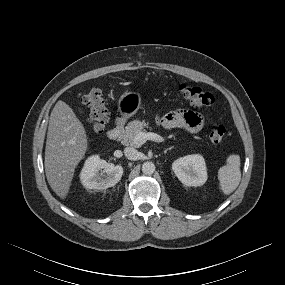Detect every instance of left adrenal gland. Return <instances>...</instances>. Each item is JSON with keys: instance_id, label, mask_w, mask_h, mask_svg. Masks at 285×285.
Instances as JSON below:
<instances>
[{"instance_id": "a2214340", "label": "left adrenal gland", "mask_w": 285, "mask_h": 285, "mask_svg": "<svg viewBox=\"0 0 285 285\" xmlns=\"http://www.w3.org/2000/svg\"><path fill=\"white\" fill-rule=\"evenodd\" d=\"M173 147L167 148L164 153H167L168 150H171Z\"/></svg>"}]
</instances>
